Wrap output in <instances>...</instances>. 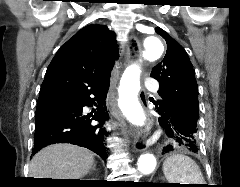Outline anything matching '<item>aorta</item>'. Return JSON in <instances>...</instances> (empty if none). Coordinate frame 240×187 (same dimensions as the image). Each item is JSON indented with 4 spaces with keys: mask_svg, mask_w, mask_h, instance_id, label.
Wrapping results in <instances>:
<instances>
[{
    "mask_svg": "<svg viewBox=\"0 0 240 187\" xmlns=\"http://www.w3.org/2000/svg\"><path fill=\"white\" fill-rule=\"evenodd\" d=\"M164 46L157 35H148L143 40L142 55L149 61H155L161 57ZM140 67L131 65L124 71L119 86V107L126 118L134 125L142 126L145 115L138 101L140 90ZM156 158L153 154H142L137 162L138 170L142 174H150L156 168Z\"/></svg>",
    "mask_w": 240,
    "mask_h": 187,
    "instance_id": "obj_1",
    "label": "aorta"
}]
</instances>
